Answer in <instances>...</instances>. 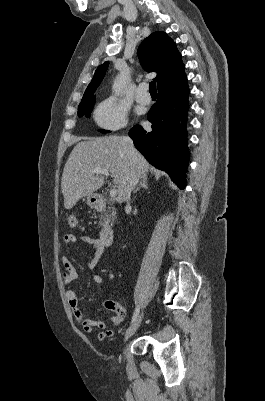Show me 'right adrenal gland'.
Masks as SVG:
<instances>
[{
	"instance_id": "obj_1",
	"label": "right adrenal gland",
	"mask_w": 265,
	"mask_h": 401,
	"mask_svg": "<svg viewBox=\"0 0 265 401\" xmlns=\"http://www.w3.org/2000/svg\"><path fill=\"white\" fill-rule=\"evenodd\" d=\"M148 176H143L140 184H138L137 188H135V190H133V192H137V190H140L141 186H143V188H148Z\"/></svg>"
}]
</instances>
